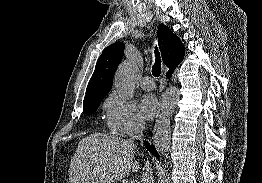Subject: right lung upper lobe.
Here are the masks:
<instances>
[{"mask_svg": "<svg viewBox=\"0 0 262 183\" xmlns=\"http://www.w3.org/2000/svg\"><path fill=\"white\" fill-rule=\"evenodd\" d=\"M157 37L163 62L169 67V71H172L182 61L185 47L164 24L159 25ZM124 47L122 42H115L104 49L88 83L84 101L104 98L109 93L115 71L124 54Z\"/></svg>", "mask_w": 262, "mask_h": 183, "instance_id": "1", "label": "right lung upper lobe"}]
</instances>
